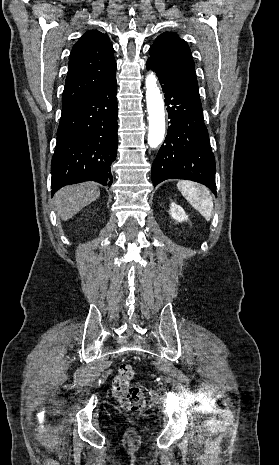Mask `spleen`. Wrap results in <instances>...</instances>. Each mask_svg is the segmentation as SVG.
<instances>
[{
  "label": "spleen",
  "mask_w": 279,
  "mask_h": 465,
  "mask_svg": "<svg viewBox=\"0 0 279 465\" xmlns=\"http://www.w3.org/2000/svg\"><path fill=\"white\" fill-rule=\"evenodd\" d=\"M177 188L185 199L209 221L213 214V200L209 191L191 181H179Z\"/></svg>",
  "instance_id": "1"
}]
</instances>
